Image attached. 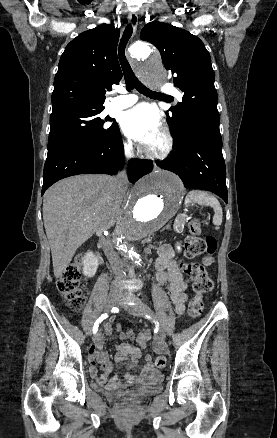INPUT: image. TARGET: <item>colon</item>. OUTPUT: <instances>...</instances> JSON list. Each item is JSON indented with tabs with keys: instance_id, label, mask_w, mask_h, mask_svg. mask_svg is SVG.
I'll return each mask as SVG.
<instances>
[{
	"instance_id": "colon-1",
	"label": "colon",
	"mask_w": 277,
	"mask_h": 438,
	"mask_svg": "<svg viewBox=\"0 0 277 438\" xmlns=\"http://www.w3.org/2000/svg\"><path fill=\"white\" fill-rule=\"evenodd\" d=\"M185 229L191 235L185 239L184 255L186 257L203 256L206 263L183 262L180 264L182 271L193 281L194 289L198 292L192 297L187 307V314L191 318L198 317L203 309L202 295L212 291L214 283L207 271V265L211 263V257L216 252L217 240L213 235L195 236L200 231V222L191 220L185 224ZM81 264L69 266L58 282V292L67 300L70 309L78 312L82 309L84 296L79 285ZM156 366L162 368L166 364L163 356L156 358Z\"/></svg>"
}]
</instances>
